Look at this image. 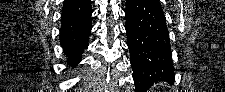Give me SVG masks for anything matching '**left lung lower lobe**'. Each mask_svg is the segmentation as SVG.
Instances as JSON below:
<instances>
[{
    "label": "left lung lower lobe",
    "instance_id": "left-lung-lower-lobe-1",
    "mask_svg": "<svg viewBox=\"0 0 225 92\" xmlns=\"http://www.w3.org/2000/svg\"><path fill=\"white\" fill-rule=\"evenodd\" d=\"M126 33L136 92L159 81L172 83L169 32L157 0H126Z\"/></svg>",
    "mask_w": 225,
    "mask_h": 92
}]
</instances>
